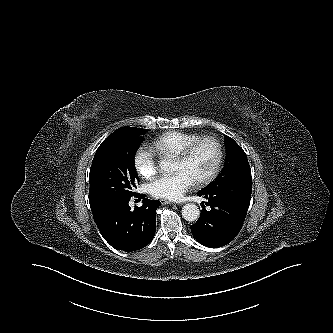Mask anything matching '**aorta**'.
I'll return each instance as SVG.
<instances>
[{
  "instance_id": "aorta-1",
  "label": "aorta",
  "mask_w": 333,
  "mask_h": 333,
  "mask_svg": "<svg viewBox=\"0 0 333 333\" xmlns=\"http://www.w3.org/2000/svg\"><path fill=\"white\" fill-rule=\"evenodd\" d=\"M160 168L164 172H168L171 169V162L168 160H162L159 164ZM182 216L186 221H196L200 216V211L197 205L193 203L185 204L182 207Z\"/></svg>"
}]
</instances>
